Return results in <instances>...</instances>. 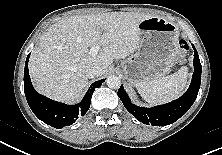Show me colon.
<instances>
[{"label": "colon", "instance_id": "obj_1", "mask_svg": "<svg viewBox=\"0 0 222 155\" xmlns=\"http://www.w3.org/2000/svg\"><path fill=\"white\" fill-rule=\"evenodd\" d=\"M177 47H178V51H179L180 55L184 54L188 49L187 42L184 39H180L178 41V46Z\"/></svg>", "mask_w": 222, "mask_h": 155}]
</instances>
